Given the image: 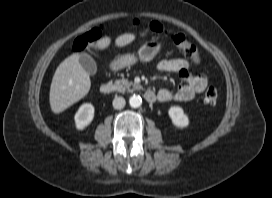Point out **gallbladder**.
I'll list each match as a JSON object with an SVG mask.
<instances>
[{"label":"gallbladder","mask_w":272,"mask_h":198,"mask_svg":"<svg viewBox=\"0 0 272 198\" xmlns=\"http://www.w3.org/2000/svg\"><path fill=\"white\" fill-rule=\"evenodd\" d=\"M79 63L89 75H94L97 72V64L95 60L87 53L81 54Z\"/></svg>","instance_id":"gallbladder-1"}]
</instances>
